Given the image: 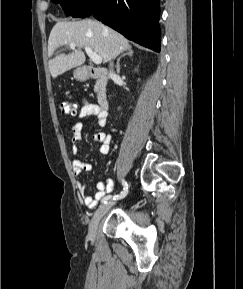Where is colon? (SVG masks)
I'll list each match as a JSON object with an SVG mask.
<instances>
[{
    "mask_svg": "<svg viewBox=\"0 0 243 289\" xmlns=\"http://www.w3.org/2000/svg\"><path fill=\"white\" fill-rule=\"evenodd\" d=\"M61 113L63 115H75L76 114V105L69 101V100H63L59 104Z\"/></svg>",
    "mask_w": 243,
    "mask_h": 289,
    "instance_id": "1",
    "label": "colon"
}]
</instances>
